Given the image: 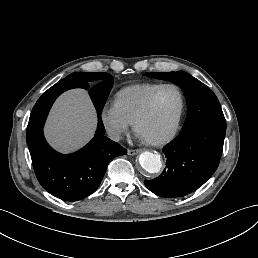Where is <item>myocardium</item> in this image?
Masks as SVG:
<instances>
[{"instance_id": "obj_1", "label": "myocardium", "mask_w": 258, "mask_h": 258, "mask_svg": "<svg viewBox=\"0 0 258 258\" xmlns=\"http://www.w3.org/2000/svg\"><path fill=\"white\" fill-rule=\"evenodd\" d=\"M164 88H171L173 90L176 91L177 95H178V99H179V110H178V114H177V118H176V122L175 125L172 129V131L161 138H150L147 136H144L140 133L139 130V125L140 122L147 116L149 109L151 107L152 101L154 96L156 95V93L158 91H160L161 89ZM183 107H184V103H183V97L181 92L179 91V89L172 85V84H163V85H159L147 98L142 110L140 111V113L138 114V116L136 117L135 121H134V131L136 136L141 139L142 141L148 143V144H152V145H162V144H166L168 142H170L176 135L179 125H180V121H181V117H182V113H183Z\"/></svg>"}]
</instances>
